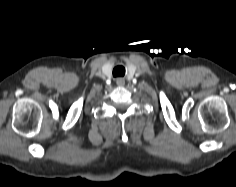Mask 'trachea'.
<instances>
[{
	"label": "trachea",
	"mask_w": 236,
	"mask_h": 187,
	"mask_svg": "<svg viewBox=\"0 0 236 187\" xmlns=\"http://www.w3.org/2000/svg\"><path fill=\"white\" fill-rule=\"evenodd\" d=\"M125 75V68L122 65H118L113 69V77H123Z\"/></svg>",
	"instance_id": "1"
}]
</instances>
